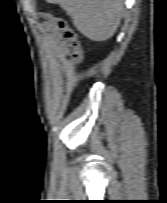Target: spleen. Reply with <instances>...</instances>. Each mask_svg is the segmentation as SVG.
<instances>
[{"instance_id": "obj_1", "label": "spleen", "mask_w": 167, "mask_h": 203, "mask_svg": "<svg viewBox=\"0 0 167 203\" xmlns=\"http://www.w3.org/2000/svg\"><path fill=\"white\" fill-rule=\"evenodd\" d=\"M57 3L72 17L77 30L87 38L105 41L116 32L123 13L122 0H47Z\"/></svg>"}]
</instances>
